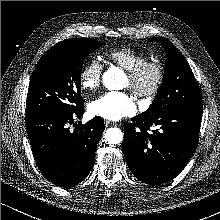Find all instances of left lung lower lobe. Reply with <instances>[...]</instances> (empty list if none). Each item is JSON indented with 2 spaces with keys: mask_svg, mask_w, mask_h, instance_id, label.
I'll list each match as a JSON object with an SVG mask.
<instances>
[{
  "mask_svg": "<svg viewBox=\"0 0 220 220\" xmlns=\"http://www.w3.org/2000/svg\"><path fill=\"white\" fill-rule=\"evenodd\" d=\"M201 120L202 107L132 118L124 126L123 152L134 176L154 186L176 177L197 148ZM154 126L159 129L148 132Z\"/></svg>",
  "mask_w": 220,
  "mask_h": 220,
  "instance_id": "obj_1",
  "label": "left lung lower lobe"
}]
</instances>
